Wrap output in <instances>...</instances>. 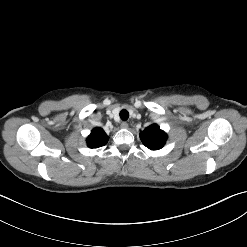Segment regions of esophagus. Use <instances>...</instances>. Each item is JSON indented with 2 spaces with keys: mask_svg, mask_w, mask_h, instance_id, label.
Here are the masks:
<instances>
[{
  "mask_svg": "<svg viewBox=\"0 0 247 247\" xmlns=\"http://www.w3.org/2000/svg\"><path fill=\"white\" fill-rule=\"evenodd\" d=\"M121 128H124V129L128 128V123L127 122H122L121 123Z\"/></svg>",
  "mask_w": 247,
  "mask_h": 247,
  "instance_id": "obj_1",
  "label": "esophagus"
}]
</instances>
